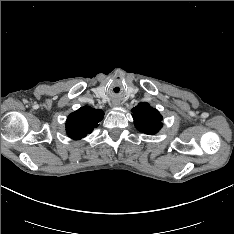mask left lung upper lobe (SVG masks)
Here are the masks:
<instances>
[{
    "label": "left lung upper lobe",
    "mask_w": 234,
    "mask_h": 234,
    "mask_svg": "<svg viewBox=\"0 0 234 234\" xmlns=\"http://www.w3.org/2000/svg\"><path fill=\"white\" fill-rule=\"evenodd\" d=\"M136 128L146 134H155L162 128V116L148 103H139L132 109Z\"/></svg>",
    "instance_id": "obj_1"
}]
</instances>
